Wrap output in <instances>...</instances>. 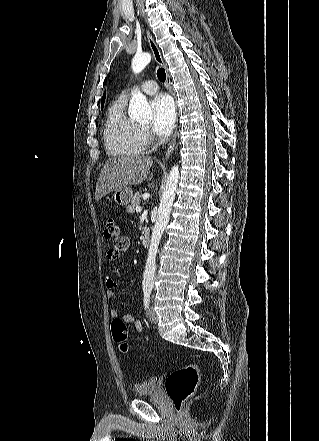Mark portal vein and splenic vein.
<instances>
[{
	"label": "portal vein and splenic vein",
	"mask_w": 319,
	"mask_h": 441,
	"mask_svg": "<svg viewBox=\"0 0 319 441\" xmlns=\"http://www.w3.org/2000/svg\"><path fill=\"white\" fill-rule=\"evenodd\" d=\"M142 208L140 206L136 207V212H141Z\"/></svg>",
	"instance_id": "obj_1"
}]
</instances>
